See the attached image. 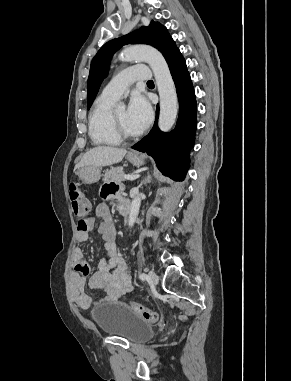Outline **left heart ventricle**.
Returning a JSON list of instances; mask_svg holds the SVG:
<instances>
[{"label":"left heart ventricle","instance_id":"b2bd125f","mask_svg":"<svg viewBox=\"0 0 291 381\" xmlns=\"http://www.w3.org/2000/svg\"><path fill=\"white\" fill-rule=\"evenodd\" d=\"M115 113L121 127L124 129L125 132H127L128 134L139 133L130 122L128 112L126 109H119Z\"/></svg>","mask_w":291,"mask_h":381}]
</instances>
